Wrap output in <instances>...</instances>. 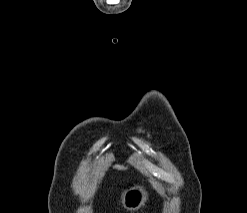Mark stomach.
<instances>
[{"instance_id": "obj_1", "label": "stomach", "mask_w": 247, "mask_h": 213, "mask_svg": "<svg viewBox=\"0 0 247 213\" xmlns=\"http://www.w3.org/2000/svg\"><path fill=\"white\" fill-rule=\"evenodd\" d=\"M149 199L148 191L144 186L136 185L125 191L122 197V207L127 211L140 209Z\"/></svg>"}]
</instances>
